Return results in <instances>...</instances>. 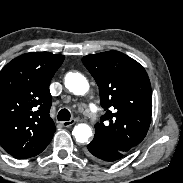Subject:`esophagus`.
<instances>
[{"instance_id": "34e87169", "label": "esophagus", "mask_w": 183, "mask_h": 183, "mask_svg": "<svg viewBox=\"0 0 183 183\" xmlns=\"http://www.w3.org/2000/svg\"><path fill=\"white\" fill-rule=\"evenodd\" d=\"M75 123H76L75 119H71L69 121H62L61 122L62 126H64V127H70V126L74 125Z\"/></svg>"}]
</instances>
